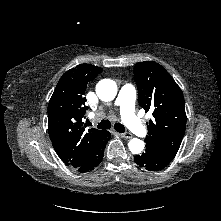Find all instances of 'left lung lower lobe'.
Here are the masks:
<instances>
[{
	"label": "left lung lower lobe",
	"mask_w": 221,
	"mask_h": 221,
	"mask_svg": "<svg viewBox=\"0 0 221 221\" xmlns=\"http://www.w3.org/2000/svg\"><path fill=\"white\" fill-rule=\"evenodd\" d=\"M134 161L137 165L149 171H159L171 162L147 148L142 155L135 156Z\"/></svg>",
	"instance_id": "left-lung-lower-lobe-1"
}]
</instances>
